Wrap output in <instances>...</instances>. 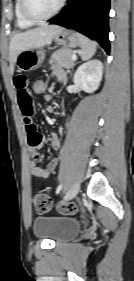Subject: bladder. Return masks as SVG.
<instances>
[{"label":"bladder","instance_id":"obj_1","mask_svg":"<svg viewBox=\"0 0 134 281\" xmlns=\"http://www.w3.org/2000/svg\"><path fill=\"white\" fill-rule=\"evenodd\" d=\"M81 224L78 220L68 217L38 216L33 223L35 236L59 243L74 238Z\"/></svg>","mask_w":134,"mask_h":281}]
</instances>
